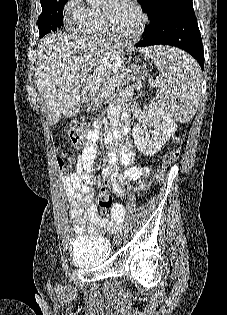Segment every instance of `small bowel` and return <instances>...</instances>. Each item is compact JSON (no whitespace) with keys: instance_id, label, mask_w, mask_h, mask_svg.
<instances>
[{"instance_id":"obj_1","label":"small bowel","mask_w":227,"mask_h":315,"mask_svg":"<svg viewBox=\"0 0 227 315\" xmlns=\"http://www.w3.org/2000/svg\"><path fill=\"white\" fill-rule=\"evenodd\" d=\"M98 132L91 130L87 142L77 156L75 171L60 177V183L65 194L64 206L67 208L73 222L76 234L97 235L112 233L119 224H125L124 206L115 204L106 217H102L94 198V163L96 159V142ZM134 154L127 142L123 143L120 151L115 144L111 145L108 153V164L102 169V184H111L118 196H126L128 191L123 183L126 180L137 182V190L145 191L148 186L149 169L133 165ZM121 166L126 169L122 170Z\"/></svg>"}]
</instances>
